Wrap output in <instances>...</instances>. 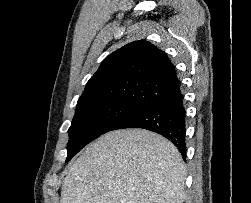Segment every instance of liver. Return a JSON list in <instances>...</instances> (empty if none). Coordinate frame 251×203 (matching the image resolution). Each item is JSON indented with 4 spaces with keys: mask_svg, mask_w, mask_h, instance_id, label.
<instances>
[{
    "mask_svg": "<svg viewBox=\"0 0 251 203\" xmlns=\"http://www.w3.org/2000/svg\"><path fill=\"white\" fill-rule=\"evenodd\" d=\"M186 176L166 138L144 129L115 130L63 172L60 203H182Z\"/></svg>",
    "mask_w": 251,
    "mask_h": 203,
    "instance_id": "liver-1",
    "label": "liver"
}]
</instances>
